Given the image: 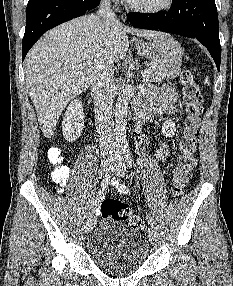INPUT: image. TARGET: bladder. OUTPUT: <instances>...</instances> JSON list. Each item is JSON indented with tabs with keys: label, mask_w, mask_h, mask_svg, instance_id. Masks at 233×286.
<instances>
[{
	"label": "bladder",
	"mask_w": 233,
	"mask_h": 286,
	"mask_svg": "<svg viewBox=\"0 0 233 286\" xmlns=\"http://www.w3.org/2000/svg\"><path fill=\"white\" fill-rule=\"evenodd\" d=\"M88 250L94 264L109 272L135 271L150 253L141 233L115 219L103 221L95 230Z\"/></svg>",
	"instance_id": "bladder-1"
}]
</instances>
